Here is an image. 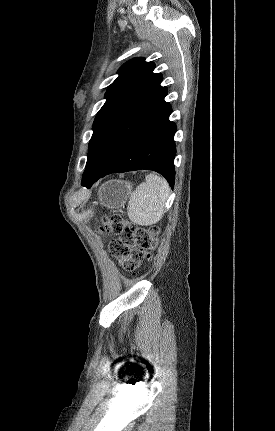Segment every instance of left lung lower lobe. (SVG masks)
<instances>
[{"label":"left lung lower lobe","instance_id":"left-lung-lower-lobe-1","mask_svg":"<svg viewBox=\"0 0 275 431\" xmlns=\"http://www.w3.org/2000/svg\"><path fill=\"white\" fill-rule=\"evenodd\" d=\"M171 112V105L166 103L123 148L106 170L93 174L82 185L90 188L98 179L108 174L143 169L162 174L173 188L176 125L169 121Z\"/></svg>","mask_w":275,"mask_h":431}]
</instances>
